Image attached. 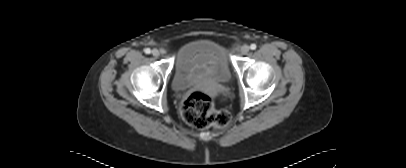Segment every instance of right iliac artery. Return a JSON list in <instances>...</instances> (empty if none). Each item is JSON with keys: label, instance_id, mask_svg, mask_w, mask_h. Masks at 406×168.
I'll return each instance as SVG.
<instances>
[{"label": "right iliac artery", "instance_id": "1", "mask_svg": "<svg viewBox=\"0 0 406 168\" xmlns=\"http://www.w3.org/2000/svg\"><path fill=\"white\" fill-rule=\"evenodd\" d=\"M144 52H145L146 54H150V53H151V50H150L149 48H146V49L144 50Z\"/></svg>", "mask_w": 406, "mask_h": 168}]
</instances>
